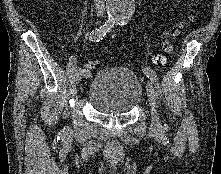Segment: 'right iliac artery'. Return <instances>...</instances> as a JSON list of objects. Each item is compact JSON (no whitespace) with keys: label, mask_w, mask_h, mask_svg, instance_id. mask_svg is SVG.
Instances as JSON below:
<instances>
[{"label":"right iliac artery","mask_w":221,"mask_h":174,"mask_svg":"<svg viewBox=\"0 0 221 174\" xmlns=\"http://www.w3.org/2000/svg\"><path fill=\"white\" fill-rule=\"evenodd\" d=\"M114 24H115V21L112 19H109L100 28L93 30L89 36L90 41L99 42L100 40H102L107 34V32H109V30L114 26ZM82 73L85 78L91 77V73L88 69H83Z\"/></svg>","instance_id":"1"}]
</instances>
